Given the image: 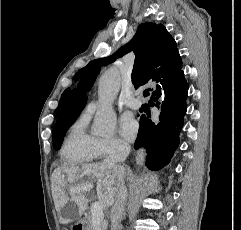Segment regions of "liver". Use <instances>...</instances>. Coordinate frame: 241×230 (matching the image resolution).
Instances as JSON below:
<instances>
[{
  "label": "liver",
  "mask_w": 241,
  "mask_h": 230,
  "mask_svg": "<svg viewBox=\"0 0 241 230\" xmlns=\"http://www.w3.org/2000/svg\"><path fill=\"white\" fill-rule=\"evenodd\" d=\"M125 171L124 166L115 170L103 163L57 168L53 173L55 182L53 199L55 208L60 215V222L63 224L72 222V219L64 217L67 210L65 206L69 200L77 205L79 216L83 215L88 204L85 193L93 188L94 183H96L100 200H106L109 204H112L117 192L116 178L118 179L119 176L124 178ZM68 193L71 198H69Z\"/></svg>",
  "instance_id": "obj_1"
}]
</instances>
